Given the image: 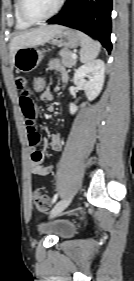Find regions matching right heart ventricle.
Here are the masks:
<instances>
[{"label":"right heart ventricle","mask_w":134,"mask_h":281,"mask_svg":"<svg viewBox=\"0 0 134 281\" xmlns=\"http://www.w3.org/2000/svg\"><path fill=\"white\" fill-rule=\"evenodd\" d=\"M14 16H15V23H16V27L19 30H25L28 29L32 24L24 21L20 14H19V10H18V0H15L14 3Z\"/></svg>","instance_id":"1"}]
</instances>
